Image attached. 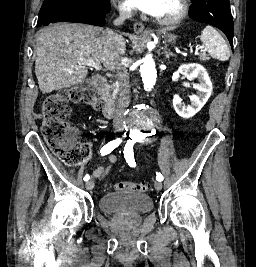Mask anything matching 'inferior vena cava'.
Segmentation results:
<instances>
[{
    "label": "inferior vena cava",
    "instance_id": "obj_1",
    "mask_svg": "<svg viewBox=\"0 0 256 267\" xmlns=\"http://www.w3.org/2000/svg\"><path fill=\"white\" fill-rule=\"evenodd\" d=\"M128 18H132L130 6H119V18H116L113 24L114 26H122L123 22L128 20ZM107 34L113 42H123L122 36L114 34L111 30H108ZM114 72L119 86V98L113 116V126H115V128H122L125 112L130 102V78L125 66L119 64V62H115Z\"/></svg>",
    "mask_w": 256,
    "mask_h": 267
}]
</instances>
